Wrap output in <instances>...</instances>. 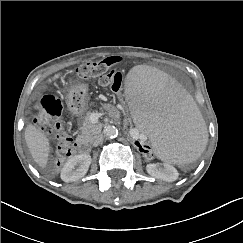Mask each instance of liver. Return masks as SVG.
Returning a JSON list of instances; mask_svg holds the SVG:
<instances>
[{
    "label": "liver",
    "instance_id": "obj_1",
    "mask_svg": "<svg viewBox=\"0 0 243 243\" xmlns=\"http://www.w3.org/2000/svg\"><path fill=\"white\" fill-rule=\"evenodd\" d=\"M61 75V73L56 74L52 80L58 79ZM24 135L34 161L39 167L45 168L50 153V141L48 137L31 123L27 125Z\"/></svg>",
    "mask_w": 243,
    "mask_h": 243
}]
</instances>
